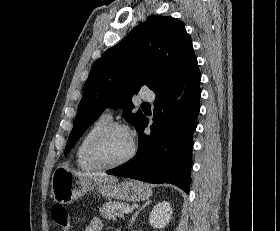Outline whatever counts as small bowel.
I'll list each match as a JSON object with an SVG mask.
<instances>
[{
	"label": "small bowel",
	"instance_id": "1",
	"mask_svg": "<svg viewBox=\"0 0 280 231\" xmlns=\"http://www.w3.org/2000/svg\"><path fill=\"white\" fill-rule=\"evenodd\" d=\"M85 231H102V222L99 218H93L89 225L86 226Z\"/></svg>",
	"mask_w": 280,
	"mask_h": 231
}]
</instances>
